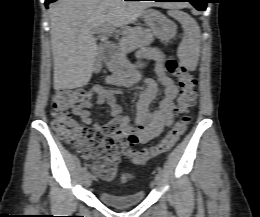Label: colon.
<instances>
[{
    "label": "colon",
    "instance_id": "colon-1",
    "mask_svg": "<svg viewBox=\"0 0 260 217\" xmlns=\"http://www.w3.org/2000/svg\"><path fill=\"white\" fill-rule=\"evenodd\" d=\"M168 73L179 80L180 95L176 112L182 114L178 122L156 145L146 150L133 149L128 143L116 142L110 135L75 119L71 109L82 107L93 100L94 94L83 89L59 90L52 98V128L57 136L83 154L86 165L100 178L111 180L115 176L119 154L135 165H142L168 151L185 132L190 122L189 110L195 105V78L176 58L165 64Z\"/></svg>",
    "mask_w": 260,
    "mask_h": 217
}]
</instances>
